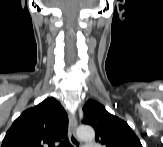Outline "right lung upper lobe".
Returning a JSON list of instances; mask_svg holds the SVG:
<instances>
[{
    "instance_id": "right-lung-upper-lobe-1",
    "label": "right lung upper lobe",
    "mask_w": 163,
    "mask_h": 147,
    "mask_svg": "<svg viewBox=\"0 0 163 147\" xmlns=\"http://www.w3.org/2000/svg\"><path fill=\"white\" fill-rule=\"evenodd\" d=\"M67 127L65 110L54 98H48L14 121L1 147H53L65 137Z\"/></svg>"
}]
</instances>
